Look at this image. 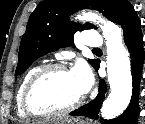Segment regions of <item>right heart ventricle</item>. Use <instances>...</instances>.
<instances>
[{"label": "right heart ventricle", "instance_id": "right-heart-ventricle-1", "mask_svg": "<svg viewBox=\"0 0 145 124\" xmlns=\"http://www.w3.org/2000/svg\"><path fill=\"white\" fill-rule=\"evenodd\" d=\"M39 68V66L33 67L29 69L25 75L23 76L22 80L20 81V84L17 88L16 91V96H15V101H16V108H17V113L20 117L26 118L28 115L25 113L23 106H22V96H23V91L25 88L26 83L30 79V77L33 75V73Z\"/></svg>", "mask_w": 145, "mask_h": 124}]
</instances>
